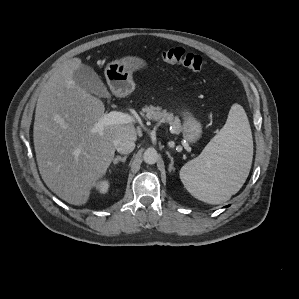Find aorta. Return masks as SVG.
Returning <instances> with one entry per match:
<instances>
[{"label": "aorta", "mask_w": 299, "mask_h": 299, "mask_svg": "<svg viewBox=\"0 0 299 299\" xmlns=\"http://www.w3.org/2000/svg\"><path fill=\"white\" fill-rule=\"evenodd\" d=\"M158 153L154 148H148L143 155V159L147 164H155L158 161Z\"/></svg>", "instance_id": "aorta-1"}]
</instances>
